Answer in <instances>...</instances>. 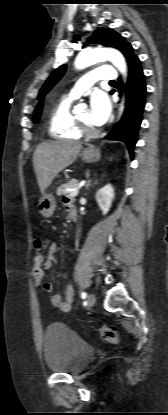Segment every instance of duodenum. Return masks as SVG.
<instances>
[{"label":"duodenum","instance_id":"1","mask_svg":"<svg viewBox=\"0 0 168 415\" xmlns=\"http://www.w3.org/2000/svg\"><path fill=\"white\" fill-rule=\"evenodd\" d=\"M69 214H70V217H71L73 220H76L77 213H76V209H75V207L70 208V210H69Z\"/></svg>","mask_w":168,"mask_h":415}]
</instances>
